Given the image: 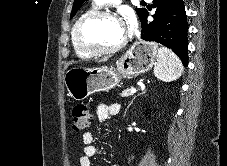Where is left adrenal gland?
Instances as JSON below:
<instances>
[{
  "label": "left adrenal gland",
  "mask_w": 227,
  "mask_h": 166,
  "mask_svg": "<svg viewBox=\"0 0 227 166\" xmlns=\"http://www.w3.org/2000/svg\"><path fill=\"white\" fill-rule=\"evenodd\" d=\"M146 93V90L142 92V94ZM136 98V96L130 101V103L128 104L125 113L127 112L128 108L130 107V105L133 103L134 99Z\"/></svg>",
  "instance_id": "left-adrenal-gland-1"
}]
</instances>
